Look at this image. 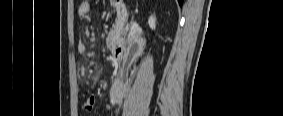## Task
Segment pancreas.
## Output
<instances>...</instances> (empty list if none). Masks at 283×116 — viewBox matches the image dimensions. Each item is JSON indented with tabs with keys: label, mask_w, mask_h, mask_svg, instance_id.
<instances>
[{
	"label": "pancreas",
	"mask_w": 283,
	"mask_h": 116,
	"mask_svg": "<svg viewBox=\"0 0 283 116\" xmlns=\"http://www.w3.org/2000/svg\"><path fill=\"white\" fill-rule=\"evenodd\" d=\"M128 29L127 28H121L118 25H113L112 29L109 31L108 36L106 38V45L108 49H113L115 47V44L117 40L125 36L127 33Z\"/></svg>",
	"instance_id": "obj_1"
}]
</instances>
